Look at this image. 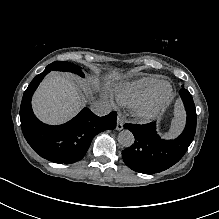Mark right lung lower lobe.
Masks as SVG:
<instances>
[{
	"mask_svg": "<svg viewBox=\"0 0 219 219\" xmlns=\"http://www.w3.org/2000/svg\"><path fill=\"white\" fill-rule=\"evenodd\" d=\"M49 72L45 69L38 74L24 92L20 107L21 128L29 145L41 157L55 163L71 164L84 157L96 134L116 127L117 113L98 117L84 108L65 124L51 126L42 123L33 114L31 98Z\"/></svg>",
	"mask_w": 219,
	"mask_h": 219,
	"instance_id": "right-lung-lower-lobe-1",
	"label": "right lung lower lobe"
}]
</instances>
